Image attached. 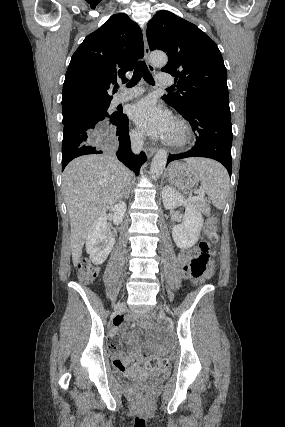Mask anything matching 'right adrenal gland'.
I'll return each instance as SVG.
<instances>
[{
	"label": "right adrenal gland",
	"mask_w": 285,
	"mask_h": 427,
	"mask_svg": "<svg viewBox=\"0 0 285 427\" xmlns=\"http://www.w3.org/2000/svg\"><path fill=\"white\" fill-rule=\"evenodd\" d=\"M120 199H128L129 198V191H127L126 193H121L119 196Z\"/></svg>",
	"instance_id": "right-adrenal-gland-1"
}]
</instances>
